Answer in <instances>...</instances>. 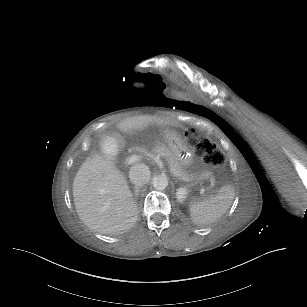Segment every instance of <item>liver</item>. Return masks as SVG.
I'll return each instance as SVG.
<instances>
[{
  "label": "liver",
  "instance_id": "liver-1",
  "mask_svg": "<svg viewBox=\"0 0 307 307\" xmlns=\"http://www.w3.org/2000/svg\"><path fill=\"white\" fill-rule=\"evenodd\" d=\"M156 123L173 125L155 116L143 115L122 120L118 123V129L126 133ZM73 197L81 221L100 234L123 233L133 227L138 219V208L125 176L113 163L98 155L88 157L77 171L73 181Z\"/></svg>",
  "mask_w": 307,
  "mask_h": 307
}]
</instances>
